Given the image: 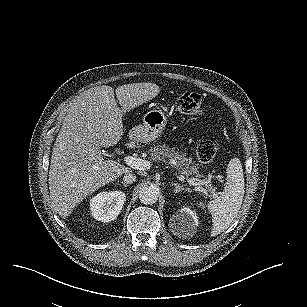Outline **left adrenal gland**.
<instances>
[{"label": "left adrenal gland", "instance_id": "1", "mask_svg": "<svg viewBox=\"0 0 307 307\" xmlns=\"http://www.w3.org/2000/svg\"><path fill=\"white\" fill-rule=\"evenodd\" d=\"M175 187L174 192H180L182 190H189L188 187H184L183 185L179 184L178 182L171 183Z\"/></svg>", "mask_w": 307, "mask_h": 307}]
</instances>
